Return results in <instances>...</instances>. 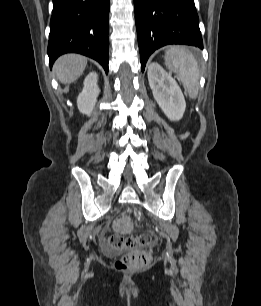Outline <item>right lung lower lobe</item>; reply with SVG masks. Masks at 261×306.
Returning a JSON list of instances; mask_svg holds the SVG:
<instances>
[{
    "instance_id": "1",
    "label": "right lung lower lobe",
    "mask_w": 261,
    "mask_h": 306,
    "mask_svg": "<svg viewBox=\"0 0 261 306\" xmlns=\"http://www.w3.org/2000/svg\"><path fill=\"white\" fill-rule=\"evenodd\" d=\"M110 0H53L48 55L74 52L98 61L108 72Z\"/></svg>"
}]
</instances>
